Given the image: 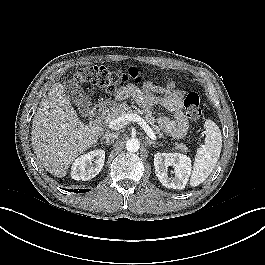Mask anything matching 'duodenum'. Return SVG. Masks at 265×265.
<instances>
[{
  "mask_svg": "<svg viewBox=\"0 0 265 265\" xmlns=\"http://www.w3.org/2000/svg\"><path fill=\"white\" fill-rule=\"evenodd\" d=\"M107 107L108 105L106 103H101L98 104L97 106H95L90 114V123L92 125H94L95 127H97V132L101 133L99 127V124L103 118V116L105 115L106 111H107Z\"/></svg>",
  "mask_w": 265,
  "mask_h": 265,
  "instance_id": "410a0bca",
  "label": "duodenum"
}]
</instances>
